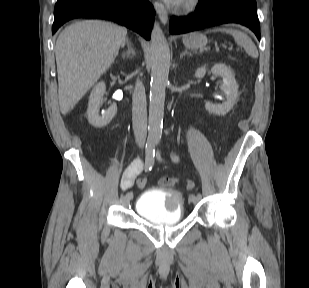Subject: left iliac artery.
Listing matches in <instances>:
<instances>
[{
    "instance_id": "44dca946",
    "label": "left iliac artery",
    "mask_w": 309,
    "mask_h": 288,
    "mask_svg": "<svg viewBox=\"0 0 309 288\" xmlns=\"http://www.w3.org/2000/svg\"><path fill=\"white\" fill-rule=\"evenodd\" d=\"M156 143H159V139L156 140ZM156 158L159 159V160L161 159V155H160L159 150L156 151ZM190 196H192L193 198L197 197V198L201 199V194H197V196L191 194Z\"/></svg>"
}]
</instances>
